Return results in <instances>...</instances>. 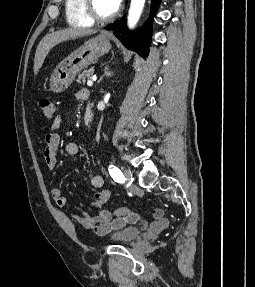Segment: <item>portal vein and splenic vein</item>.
I'll return each instance as SVG.
<instances>
[{"mask_svg": "<svg viewBox=\"0 0 255 287\" xmlns=\"http://www.w3.org/2000/svg\"><path fill=\"white\" fill-rule=\"evenodd\" d=\"M96 80H97L96 76H93L92 80H88L87 86L91 88V86H93V82H96Z\"/></svg>", "mask_w": 255, "mask_h": 287, "instance_id": "obj_1", "label": "portal vein and splenic vein"}]
</instances>
